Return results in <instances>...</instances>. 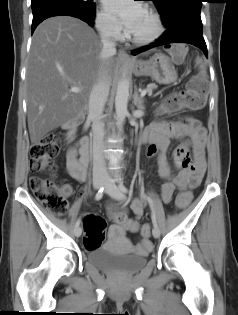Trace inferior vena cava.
I'll list each match as a JSON object with an SVG mask.
<instances>
[{"label":"inferior vena cava","instance_id":"602c4592","mask_svg":"<svg viewBox=\"0 0 238 315\" xmlns=\"http://www.w3.org/2000/svg\"><path fill=\"white\" fill-rule=\"evenodd\" d=\"M101 60L104 64L110 57L116 54V45L112 40L110 27L106 24L101 26ZM110 77L105 67L101 66L99 76L94 84L89 97V117L92 119L93 137V179H105L108 177L104 155V123L102 114L109 95Z\"/></svg>","mask_w":238,"mask_h":315}]
</instances>
